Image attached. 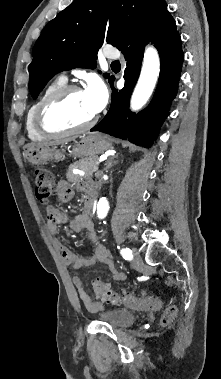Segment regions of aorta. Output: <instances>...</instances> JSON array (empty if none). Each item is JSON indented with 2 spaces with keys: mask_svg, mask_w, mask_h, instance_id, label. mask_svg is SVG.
<instances>
[{
  "mask_svg": "<svg viewBox=\"0 0 221 379\" xmlns=\"http://www.w3.org/2000/svg\"><path fill=\"white\" fill-rule=\"evenodd\" d=\"M160 72V59L157 50L148 46L144 53L143 65L139 80L133 91L130 105L132 110L141 109L150 98ZM109 203L105 197L99 200L97 215L100 219L107 216Z\"/></svg>",
  "mask_w": 221,
  "mask_h": 379,
  "instance_id": "obj_1",
  "label": "aorta"
}]
</instances>
